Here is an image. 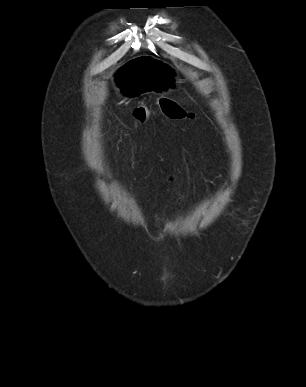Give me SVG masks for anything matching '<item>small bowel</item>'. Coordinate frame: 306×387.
<instances>
[{
	"label": "small bowel",
	"mask_w": 306,
	"mask_h": 387,
	"mask_svg": "<svg viewBox=\"0 0 306 387\" xmlns=\"http://www.w3.org/2000/svg\"><path fill=\"white\" fill-rule=\"evenodd\" d=\"M170 181H174V178H173V177H171V178H170Z\"/></svg>",
	"instance_id": "1"
}]
</instances>
